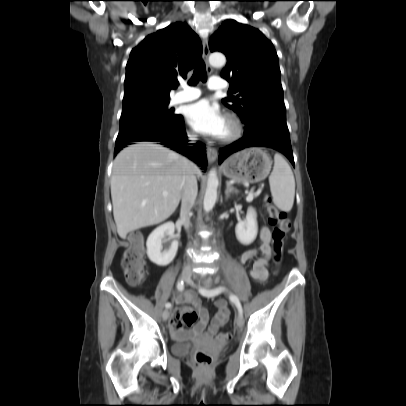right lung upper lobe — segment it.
Returning a JSON list of instances; mask_svg holds the SVG:
<instances>
[{"mask_svg":"<svg viewBox=\"0 0 406 406\" xmlns=\"http://www.w3.org/2000/svg\"><path fill=\"white\" fill-rule=\"evenodd\" d=\"M199 37L186 23L176 22L148 35L126 65L123 106L144 100H167L201 57Z\"/></svg>","mask_w":406,"mask_h":406,"instance_id":"1","label":"right lung upper lobe"}]
</instances>
